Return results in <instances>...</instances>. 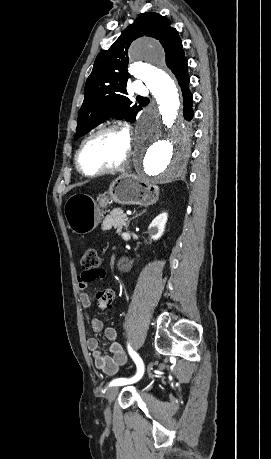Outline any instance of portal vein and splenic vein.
<instances>
[{"mask_svg":"<svg viewBox=\"0 0 271 459\" xmlns=\"http://www.w3.org/2000/svg\"><path fill=\"white\" fill-rule=\"evenodd\" d=\"M131 213V212H130ZM122 217H128V214L125 212L124 214L121 215Z\"/></svg>","mask_w":271,"mask_h":459,"instance_id":"18ae733b","label":"portal vein and splenic vein"}]
</instances>
